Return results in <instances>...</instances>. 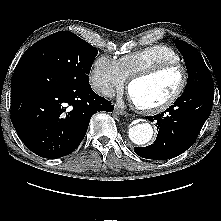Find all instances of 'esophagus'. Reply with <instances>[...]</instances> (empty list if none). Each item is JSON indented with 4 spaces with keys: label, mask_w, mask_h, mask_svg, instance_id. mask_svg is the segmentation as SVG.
<instances>
[{
    "label": "esophagus",
    "mask_w": 221,
    "mask_h": 221,
    "mask_svg": "<svg viewBox=\"0 0 221 221\" xmlns=\"http://www.w3.org/2000/svg\"><path fill=\"white\" fill-rule=\"evenodd\" d=\"M115 113L118 115H126V111H124V109L121 107V103H117L115 105Z\"/></svg>",
    "instance_id": "1"
}]
</instances>
